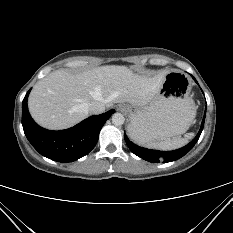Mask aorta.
I'll return each instance as SVG.
<instances>
[{"label":"aorta","instance_id":"1","mask_svg":"<svg viewBox=\"0 0 233 233\" xmlns=\"http://www.w3.org/2000/svg\"><path fill=\"white\" fill-rule=\"evenodd\" d=\"M124 121H125V118L121 113H114L112 115V122L115 125H122L124 123Z\"/></svg>","mask_w":233,"mask_h":233}]
</instances>
